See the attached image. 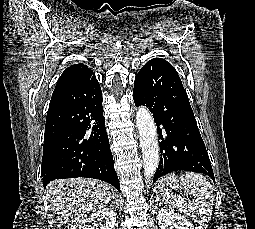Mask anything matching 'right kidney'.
Masks as SVG:
<instances>
[{
    "label": "right kidney",
    "mask_w": 255,
    "mask_h": 229,
    "mask_svg": "<svg viewBox=\"0 0 255 229\" xmlns=\"http://www.w3.org/2000/svg\"><path fill=\"white\" fill-rule=\"evenodd\" d=\"M104 220L100 229H113L116 222V213L111 208L99 209L81 222L80 229H99L98 224ZM101 225V224H100Z\"/></svg>",
    "instance_id": "obj_1"
}]
</instances>
